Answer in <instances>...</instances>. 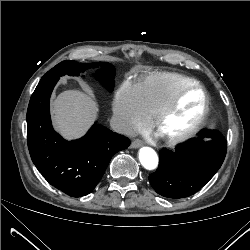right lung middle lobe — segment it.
Returning a JSON list of instances; mask_svg holds the SVG:
<instances>
[{
    "label": "right lung middle lobe",
    "instance_id": "right-lung-middle-lobe-1",
    "mask_svg": "<svg viewBox=\"0 0 250 250\" xmlns=\"http://www.w3.org/2000/svg\"><path fill=\"white\" fill-rule=\"evenodd\" d=\"M97 74L99 79L103 81L104 86L112 91L114 87L115 70L111 64L98 62V63H78L76 61H63L57 64L54 68L48 71L40 81L50 78H59L65 74L70 76H78L81 72L98 69Z\"/></svg>",
    "mask_w": 250,
    "mask_h": 250
}]
</instances>
